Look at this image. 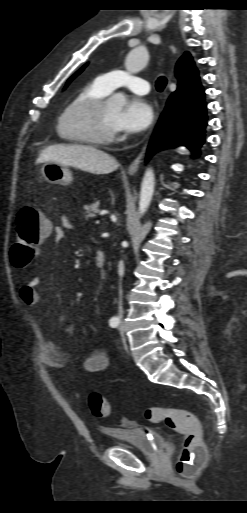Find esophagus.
<instances>
[{
  "label": "esophagus",
  "instance_id": "esophagus-1",
  "mask_svg": "<svg viewBox=\"0 0 247 513\" xmlns=\"http://www.w3.org/2000/svg\"><path fill=\"white\" fill-rule=\"evenodd\" d=\"M146 147H147V144H145V146L143 147V149L141 150V152L138 154V156L134 159V161L130 164L129 168H128V174L130 175H133L134 173H136L137 169H138V166H139V163L141 161V158L143 157L144 155V152L146 150Z\"/></svg>",
  "mask_w": 247,
  "mask_h": 513
}]
</instances>
